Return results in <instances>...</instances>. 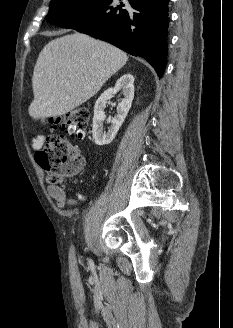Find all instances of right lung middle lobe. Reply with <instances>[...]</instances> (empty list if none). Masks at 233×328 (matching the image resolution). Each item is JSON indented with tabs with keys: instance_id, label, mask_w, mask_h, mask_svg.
I'll return each mask as SVG.
<instances>
[{
	"instance_id": "dd1d6c3e",
	"label": "right lung middle lobe",
	"mask_w": 233,
	"mask_h": 328,
	"mask_svg": "<svg viewBox=\"0 0 233 328\" xmlns=\"http://www.w3.org/2000/svg\"><path fill=\"white\" fill-rule=\"evenodd\" d=\"M98 0H52L46 20L53 24L57 20L80 11Z\"/></svg>"
}]
</instances>
